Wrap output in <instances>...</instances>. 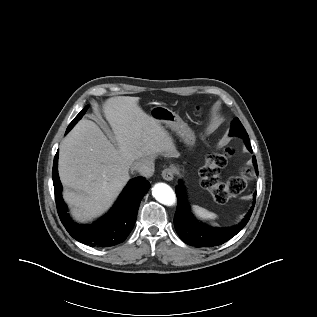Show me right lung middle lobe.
Returning <instances> with one entry per match:
<instances>
[{"label":"right lung middle lobe","mask_w":317,"mask_h":317,"mask_svg":"<svg viewBox=\"0 0 317 317\" xmlns=\"http://www.w3.org/2000/svg\"><path fill=\"white\" fill-rule=\"evenodd\" d=\"M88 106H86L76 117L75 119L70 123V125L68 126L66 132H68L75 124L76 122L85 114V112L87 111Z\"/></svg>","instance_id":"1"}]
</instances>
